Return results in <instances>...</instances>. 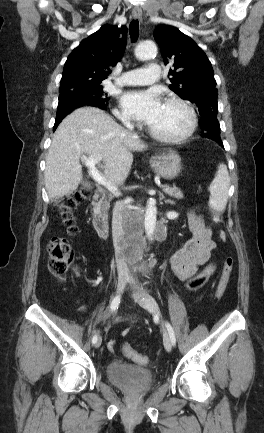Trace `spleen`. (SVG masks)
I'll return each instance as SVG.
<instances>
[{
	"label": "spleen",
	"mask_w": 264,
	"mask_h": 433,
	"mask_svg": "<svg viewBox=\"0 0 264 433\" xmlns=\"http://www.w3.org/2000/svg\"><path fill=\"white\" fill-rule=\"evenodd\" d=\"M230 178L225 164H220L217 174L210 184L209 191L211 197L209 206L216 212H224L228 200V190Z\"/></svg>",
	"instance_id": "spleen-1"
}]
</instances>
